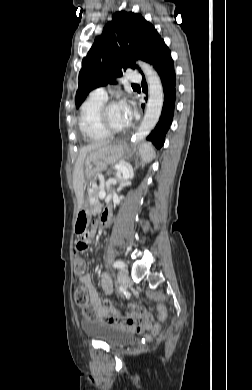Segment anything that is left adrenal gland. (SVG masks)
Wrapping results in <instances>:
<instances>
[{
    "label": "left adrenal gland",
    "mask_w": 252,
    "mask_h": 390,
    "mask_svg": "<svg viewBox=\"0 0 252 390\" xmlns=\"http://www.w3.org/2000/svg\"><path fill=\"white\" fill-rule=\"evenodd\" d=\"M133 175H134V171L131 169L129 178H132ZM118 182H120V188L126 186L129 183V181L125 180V178H118Z\"/></svg>",
    "instance_id": "1"
}]
</instances>
